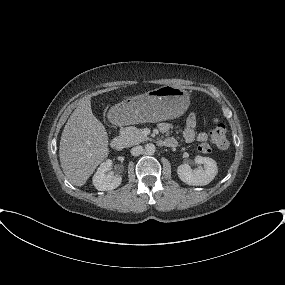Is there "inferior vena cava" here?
I'll return each instance as SVG.
<instances>
[{"mask_svg":"<svg viewBox=\"0 0 285 285\" xmlns=\"http://www.w3.org/2000/svg\"><path fill=\"white\" fill-rule=\"evenodd\" d=\"M143 152H144V149L141 145L135 146L131 149V154L133 156H138L140 154H143Z\"/></svg>","mask_w":285,"mask_h":285,"instance_id":"inferior-vena-cava-1","label":"inferior vena cava"}]
</instances>
